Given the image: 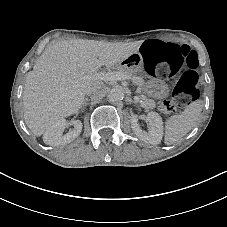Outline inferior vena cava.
Listing matches in <instances>:
<instances>
[{
  "label": "inferior vena cava",
  "mask_w": 227,
  "mask_h": 227,
  "mask_svg": "<svg viewBox=\"0 0 227 227\" xmlns=\"http://www.w3.org/2000/svg\"><path fill=\"white\" fill-rule=\"evenodd\" d=\"M100 88H101V86H99L97 83H95L92 86L87 87L86 94L87 95L94 94L96 98H99L102 95V93L98 92L97 90H99Z\"/></svg>",
  "instance_id": "602c4592"
}]
</instances>
